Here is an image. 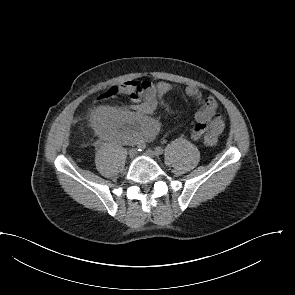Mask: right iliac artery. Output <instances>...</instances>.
<instances>
[{"label": "right iliac artery", "instance_id": "1", "mask_svg": "<svg viewBox=\"0 0 295 295\" xmlns=\"http://www.w3.org/2000/svg\"><path fill=\"white\" fill-rule=\"evenodd\" d=\"M136 148L138 149V151H142V150H144L145 147L142 145H138Z\"/></svg>", "mask_w": 295, "mask_h": 295}]
</instances>
